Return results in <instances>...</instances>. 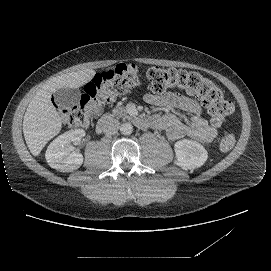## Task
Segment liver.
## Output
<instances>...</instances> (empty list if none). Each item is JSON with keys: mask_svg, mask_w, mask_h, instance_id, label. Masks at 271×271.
Masks as SVG:
<instances>
[{"mask_svg": "<svg viewBox=\"0 0 271 271\" xmlns=\"http://www.w3.org/2000/svg\"><path fill=\"white\" fill-rule=\"evenodd\" d=\"M95 70L86 68L51 78L36 92L23 118V134L33 156H38L45 145L62 128V117L51 102V94L62 88L77 89L92 80Z\"/></svg>", "mask_w": 271, "mask_h": 271, "instance_id": "1", "label": "liver"}]
</instances>
